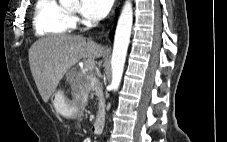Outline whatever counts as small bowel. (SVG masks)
Segmentation results:
<instances>
[{
    "instance_id": "1",
    "label": "small bowel",
    "mask_w": 227,
    "mask_h": 142,
    "mask_svg": "<svg viewBox=\"0 0 227 142\" xmlns=\"http://www.w3.org/2000/svg\"><path fill=\"white\" fill-rule=\"evenodd\" d=\"M83 142H92L90 138H86L83 140Z\"/></svg>"
}]
</instances>
